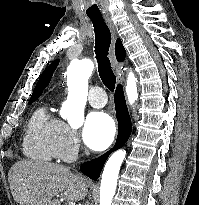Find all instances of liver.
Masks as SVG:
<instances>
[{"label":"liver","instance_id":"6515ba94","mask_svg":"<svg viewBox=\"0 0 199 205\" xmlns=\"http://www.w3.org/2000/svg\"><path fill=\"white\" fill-rule=\"evenodd\" d=\"M10 190L20 205H60L59 194L70 202L83 200L88 192L86 179L70 168L48 162H16L8 175Z\"/></svg>","mask_w":199,"mask_h":205}]
</instances>
